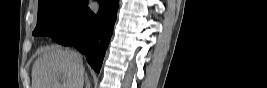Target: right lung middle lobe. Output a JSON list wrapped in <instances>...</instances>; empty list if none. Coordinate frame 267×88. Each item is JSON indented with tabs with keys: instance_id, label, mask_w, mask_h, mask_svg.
<instances>
[{
	"instance_id": "1",
	"label": "right lung middle lobe",
	"mask_w": 267,
	"mask_h": 88,
	"mask_svg": "<svg viewBox=\"0 0 267 88\" xmlns=\"http://www.w3.org/2000/svg\"><path fill=\"white\" fill-rule=\"evenodd\" d=\"M88 8L87 0H40L33 35L55 37L76 23Z\"/></svg>"
}]
</instances>
